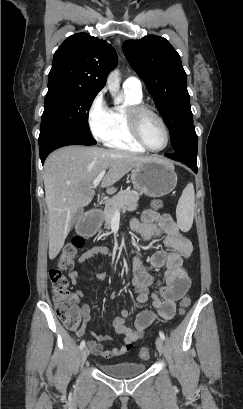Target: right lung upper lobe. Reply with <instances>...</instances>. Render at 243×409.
I'll return each mask as SVG.
<instances>
[{
    "mask_svg": "<svg viewBox=\"0 0 243 409\" xmlns=\"http://www.w3.org/2000/svg\"><path fill=\"white\" fill-rule=\"evenodd\" d=\"M116 64V51L106 41L87 33L74 34L56 50L48 83L59 82L98 93Z\"/></svg>",
    "mask_w": 243,
    "mask_h": 409,
    "instance_id": "cb5924a9",
    "label": "right lung upper lobe"
}]
</instances>
